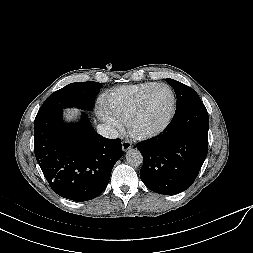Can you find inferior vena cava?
I'll return each mask as SVG.
<instances>
[{
  "mask_svg": "<svg viewBox=\"0 0 253 253\" xmlns=\"http://www.w3.org/2000/svg\"><path fill=\"white\" fill-rule=\"evenodd\" d=\"M97 132L105 138L115 139L119 137L118 131L108 124H99L97 126Z\"/></svg>",
  "mask_w": 253,
  "mask_h": 253,
  "instance_id": "inferior-vena-cava-1",
  "label": "inferior vena cava"
}]
</instances>
